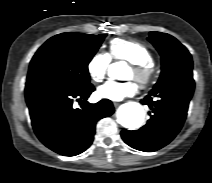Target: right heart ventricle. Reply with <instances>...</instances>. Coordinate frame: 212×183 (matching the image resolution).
<instances>
[{
  "label": "right heart ventricle",
  "instance_id": "1",
  "mask_svg": "<svg viewBox=\"0 0 212 183\" xmlns=\"http://www.w3.org/2000/svg\"><path fill=\"white\" fill-rule=\"evenodd\" d=\"M108 56L117 61L129 63H147L153 65L151 51L142 43L135 40L113 39L109 45Z\"/></svg>",
  "mask_w": 212,
  "mask_h": 183
}]
</instances>
